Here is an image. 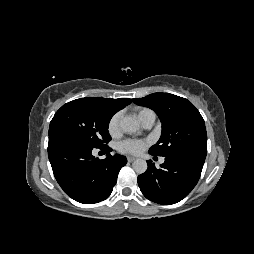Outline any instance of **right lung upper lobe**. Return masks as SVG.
Returning <instances> with one entry per match:
<instances>
[{
  "mask_svg": "<svg viewBox=\"0 0 254 254\" xmlns=\"http://www.w3.org/2000/svg\"><path fill=\"white\" fill-rule=\"evenodd\" d=\"M98 99L103 101L114 112V114L132 102L129 98H119V99L98 98Z\"/></svg>",
  "mask_w": 254,
  "mask_h": 254,
  "instance_id": "right-lung-upper-lobe-1",
  "label": "right lung upper lobe"
}]
</instances>
